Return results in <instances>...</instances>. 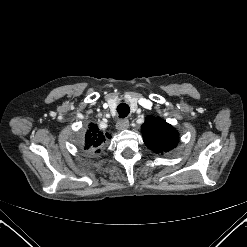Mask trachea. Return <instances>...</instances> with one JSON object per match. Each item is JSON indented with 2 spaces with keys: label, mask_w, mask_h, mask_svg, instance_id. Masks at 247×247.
Wrapping results in <instances>:
<instances>
[{
  "label": "trachea",
  "mask_w": 247,
  "mask_h": 247,
  "mask_svg": "<svg viewBox=\"0 0 247 247\" xmlns=\"http://www.w3.org/2000/svg\"><path fill=\"white\" fill-rule=\"evenodd\" d=\"M117 112L120 118H125L129 114L130 108L126 103H120L117 106Z\"/></svg>",
  "instance_id": "trachea-1"
}]
</instances>
